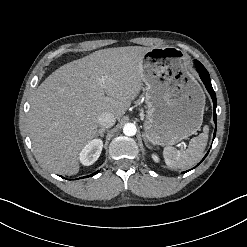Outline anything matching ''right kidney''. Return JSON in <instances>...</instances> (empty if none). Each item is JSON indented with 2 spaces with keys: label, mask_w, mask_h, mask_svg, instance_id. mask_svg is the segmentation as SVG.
Segmentation results:
<instances>
[{
  "label": "right kidney",
  "mask_w": 247,
  "mask_h": 247,
  "mask_svg": "<svg viewBox=\"0 0 247 247\" xmlns=\"http://www.w3.org/2000/svg\"><path fill=\"white\" fill-rule=\"evenodd\" d=\"M103 147V142L100 139L89 141L79 154L80 162L84 166L92 165L99 158Z\"/></svg>",
  "instance_id": "1"
}]
</instances>
